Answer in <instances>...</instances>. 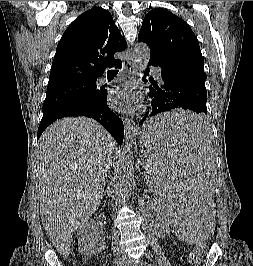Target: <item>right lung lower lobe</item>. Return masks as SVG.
I'll list each match as a JSON object with an SVG mask.
<instances>
[{
	"mask_svg": "<svg viewBox=\"0 0 253 266\" xmlns=\"http://www.w3.org/2000/svg\"><path fill=\"white\" fill-rule=\"evenodd\" d=\"M116 66L121 68L122 63L120 62ZM100 91H101L100 99L91 107L74 114H69L66 116H58L54 118V120L52 121L40 122L37 133L38 138L41 136L42 132L57 119L67 116H87L97 120L101 125H103L108 130V132L114 137L117 143L121 145L123 143V137H124L123 122L116 114H114L109 109L106 101L107 91L105 89H101Z\"/></svg>",
	"mask_w": 253,
	"mask_h": 266,
	"instance_id": "98d812e1",
	"label": "right lung lower lobe"
}]
</instances>
